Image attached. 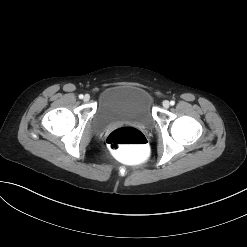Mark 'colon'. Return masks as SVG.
I'll list each match as a JSON object with an SVG mask.
<instances>
[{"mask_svg":"<svg viewBox=\"0 0 247 247\" xmlns=\"http://www.w3.org/2000/svg\"><path fill=\"white\" fill-rule=\"evenodd\" d=\"M106 141L109 149L126 163L144 166L152 158V149L145 135L136 128H117L110 132Z\"/></svg>","mask_w":247,"mask_h":247,"instance_id":"obj_1","label":"colon"}]
</instances>
